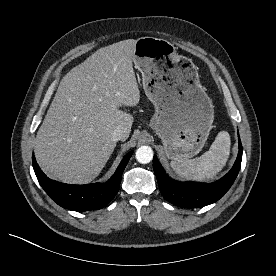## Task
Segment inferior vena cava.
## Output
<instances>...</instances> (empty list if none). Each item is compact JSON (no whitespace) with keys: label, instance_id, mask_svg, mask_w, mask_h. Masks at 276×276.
Wrapping results in <instances>:
<instances>
[{"label":"inferior vena cava","instance_id":"obj_1","mask_svg":"<svg viewBox=\"0 0 276 276\" xmlns=\"http://www.w3.org/2000/svg\"><path fill=\"white\" fill-rule=\"evenodd\" d=\"M112 137L115 141L124 140L126 138V134H125V131L123 130V128L121 126H118L114 130Z\"/></svg>","mask_w":276,"mask_h":276}]
</instances>
